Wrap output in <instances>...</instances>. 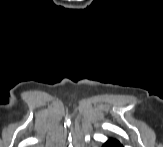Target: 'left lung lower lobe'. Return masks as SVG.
<instances>
[{
	"mask_svg": "<svg viewBox=\"0 0 163 147\" xmlns=\"http://www.w3.org/2000/svg\"><path fill=\"white\" fill-rule=\"evenodd\" d=\"M104 147H123L119 141L116 139L110 138L104 145Z\"/></svg>",
	"mask_w": 163,
	"mask_h": 147,
	"instance_id": "left-lung-lower-lobe-1",
	"label": "left lung lower lobe"
}]
</instances>
